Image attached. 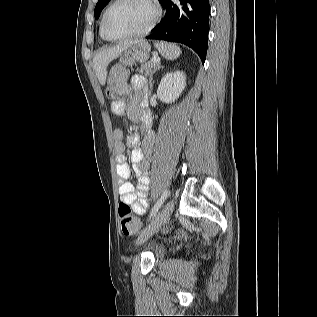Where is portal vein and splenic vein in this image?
Wrapping results in <instances>:
<instances>
[{
    "label": "portal vein and splenic vein",
    "mask_w": 317,
    "mask_h": 317,
    "mask_svg": "<svg viewBox=\"0 0 317 317\" xmlns=\"http://www.w3.org/2000/svg\"><path fill=\"white\" fill-rule=\"evenodd\" d=\"M152 62H153L154 64H158V63L160 62V58H159V57H153V58H152Z\"/></svg>",
    "instance_id": "18ae733b"
}]
</instances>
